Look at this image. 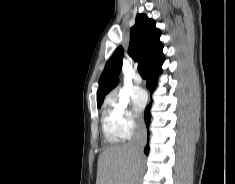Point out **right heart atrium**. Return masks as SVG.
Masks as SVG:
<instances>
[{"instance_id": "right-heart-atrium-1", "label": "right heart atrium", "mask_w": 235, "mask_h": 184, "mask_svg": "<svg viewBox=\"0 0 235 184\" xmlns=\"http://www.w3.org/2000/svg\"><path fill=\"white\" fill-rule=\"evenodd\" d=\"M103 107L109 113L108 117L119 138L129 139L142 130V122L130 109L129 97L121 91L110 92Z\"/></svg>"}]
</instances>
